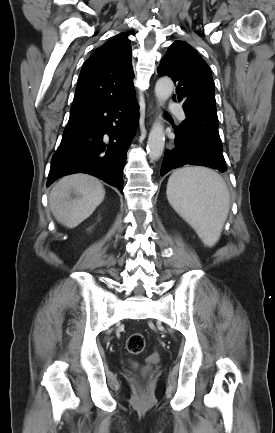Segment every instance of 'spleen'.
I'll return each mask as SVG.
<instances>
[{
  "instance_id": "1",
  "label": "spleen",
  "mask_w": 275,
  "mask_h": 433,
  "mask_svg": "<svg viewBox=\"0 0 275 433\" xmlns=\"http://www.w3.org/2000/svg\"><path fill=\"white\" fill-rule=\"evenodd\" d=\"M166 194L203 243L213 246L229 213L230 194L222 177L205 167H184L172 173Z\"/></svg>"
}]
</instances>
